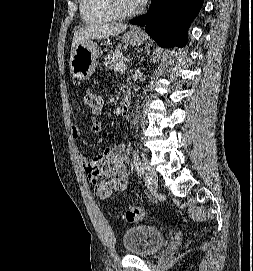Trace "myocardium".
<instances>
[{
	"label": "myocardium",
	"instance_id": "f54148a6",
	"mask_svg": "<svg viewBox=\"0 0 253 271\" xmlns=\"http://www.w3.org/2000/svg\"><path fill=\"white\" fill-rule=\"evenodd\" d=\"M110 4L112 7V10L116 14L117 17L120 18H126V17H131L134 16L142 10L143 5L140 4L135 8H127L124 5L123 0H110Z\"/></svg>",
	"mask_w": 253,
	"mask_h": 271
}]
</instances>
